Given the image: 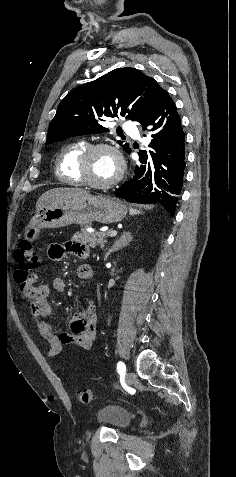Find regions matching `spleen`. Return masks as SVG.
I'll return each instance as SVG.
<instances>
[{
	"label": "spleen",
	"mask_w": 236,
	"mask_h": 477,
	"mask_svg": "<svg viewBox=\"0 0 236 477\" xmlns=\"http://www.w3.org/2000/svg\"><path fill=\"white\" fill-rule=\"evenodd\" d=\"M129 213H130V215L133 216V215L140 214L141 212H140V210L130 208V209H129Z\"/></svg>",
	"instance_id": "1"
}]
</instances>
